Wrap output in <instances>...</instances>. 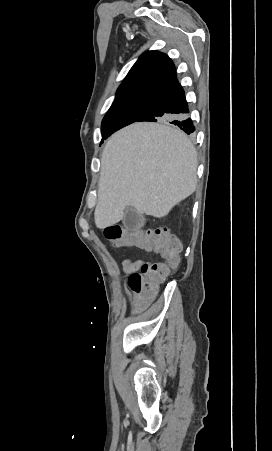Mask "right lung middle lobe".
Masks as SVG:
<instances>
[{"label": "right lung middle lobe", "instance_id": "dd1d6c3e", "mask_svg": "<svg viewBox=\"0 0 272 451\" xmlns=\"http://www.w3.org/2000/svg\"><path fill=\"white\" fill-rule=\"evenodd\" d=\"M151 98H133L113 102L102 121V140L139 119L149 107Z\"/></svg>", "mask_w": 272, "mask_h": 451}]
</instances>
